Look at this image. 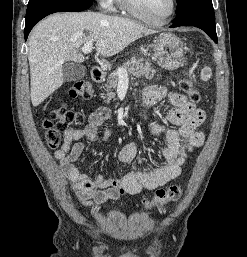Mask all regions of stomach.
<instances>
[{
	"instance_id": "obj_1",
	"label": "stomach",
	"mask_w": 247,
	"mask_h": 257,
	"mask_svg": "<svg viewBox=\"0 0 247 257\" xmlns=\"http://www.w3.org/2000/svg\"><path fill=\"white\" fill-rule=\"evenodd\" d=\"M183 42L172 33H162L156 37L153 48V58L167 70H174L181 66L184 59Z\"/></svg>"
}]
</instances>
